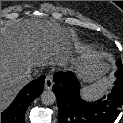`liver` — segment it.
<instances>
[{"label": "liver", "mask_w": 123, "mask_h": 123, "mask_svg": "<svg viewBox=\"0 0 123 123\" xmlns=\"http://www.w3.org/2000/svg\"><path fill=\"white\" fill-rule=\"evenodd\" d=\"M65 28L39 18L17 19L1 27V112L28 83L24 72L33 67L58 65L73 61L71 42ZM84 81L99 76L98 66L79 70Z\"/></svg>", "instance_id": "6515ba94"}]
</instances>
